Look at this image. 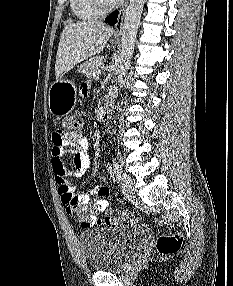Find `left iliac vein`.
<instances>
[{
    "label": "left iliac vein",
    "mask_w": 233,
    "mask_h": 286,
    "mask_svg": "<svg viewBox=\"0 0 233 286\" xmlns=\"http://www.w3.org/2000/svg\"><path fill=\"white\" fill-rule=\"evenodd\" d=\"M120 187L127 198H132L134 196V182L128 175L122 174L120 178Z\"/></svg>",
    "instance_id": "4c4485c4"
}]
</instances>
